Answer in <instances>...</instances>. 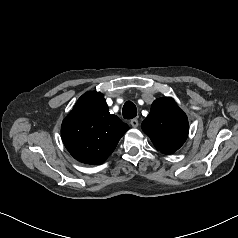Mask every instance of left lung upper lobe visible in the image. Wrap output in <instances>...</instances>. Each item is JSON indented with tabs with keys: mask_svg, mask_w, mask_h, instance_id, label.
Masks as SVG:
<instances>
[{
	"mask_svg": "<svg viewBox=\"0 0 238 238\" xmlns=\"http://www.w3.org/2000/svg\"><path fill=\"white\" fill-rule=\"evenodd\" d=\"M141 127L155 148L164 154L177 151L184 144L189 131L186 114L172 98L156 99Z\"/></svg>",
	"mask_w": 238,
	"mask_h": 238,
	"instance_id": "5c2ea615",
	"label": "left lung upper lobe"
}]
</instances>
